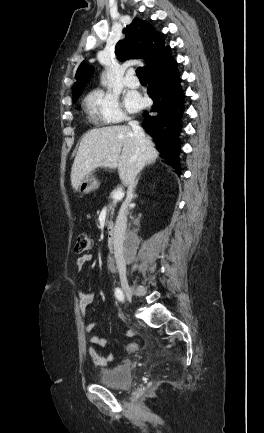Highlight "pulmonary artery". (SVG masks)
Listing matches in <instances>:
<instances>
[{"instance_id": "1", "label": "pulmonary artery", "mask_w": 264, "mask_h": 433, "mask_svg": "<svg viewBox=\"0 0 264 433\" xmlns=\"http://www.w3.org/2000/svg\"><path fill=\"white\" fill-rule=\"evenodd\" d=\"M124 83L129 88H137L140 85L139 80L135 77L134 71L129 69L124 78Z\"/></svg>"}]
</instances>
